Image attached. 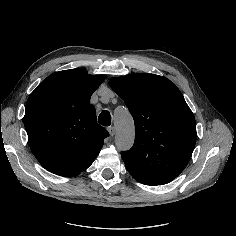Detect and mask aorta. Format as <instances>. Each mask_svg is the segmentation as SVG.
<instances>
[{"instance_id":"762f6f07","label":"aorta","mask_w":236,"mask_h":236,"mask_svg":"<svg viewBox=\"0 0 236 236\" xmlns=\"http://www.w3.org/2000/svg\"><path fill=\"white\" fill-rule=\"evenodd\" d=\"M115 127L117 129L115 143L118 149L128 150L135 139L134 121L127 109H119L115 112Z\"/></svg>"}]
</instances>
